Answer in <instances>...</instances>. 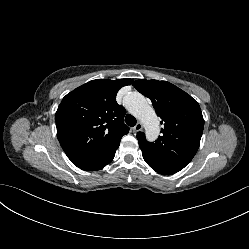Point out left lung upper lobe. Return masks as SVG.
<instances>
[{
	"label": "left lung upper lobe",
	"instance_id": "1",
	"mask_svg": "<svg viewBox=\"0 0 249 249\" xmlns=\"http://www.w3.org/2000/svg\"><path fill=\"white\" fill-rule=\"evenodd\" d=\"M132 85L152 101L164 125L155 142H148L142 132L137 134L142 154L186 166L199 148L204 128L198 102L167 81L137 80Z\"/></svg>",
	"mask_w": 249,
	"mask_h": 249
}]
</instances>
